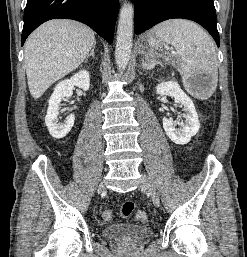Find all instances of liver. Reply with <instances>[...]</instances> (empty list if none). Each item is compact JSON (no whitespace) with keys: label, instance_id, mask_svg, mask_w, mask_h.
Segmentation results:
<instances>
[{"label":"liver","instance_id":"1","mask_svg":"<svg viewBox=\"0 0 247 257\" xmlns=\"http://www.w3.org/2000/svg\"><path fill=\"white\" fill-rule=\"evenodd\" d=\"M95 42L91 28L69 19L50 20L33 31L24 58L32 97L39 99L54 82L75 70Z\"/></svg>","mask_w":247,"mask_h":257}]
</instances>
